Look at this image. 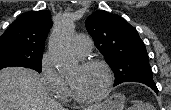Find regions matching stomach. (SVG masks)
I'll use <instances>...</instances> for the list:
<instances>
[{
    "label": "stomach",
    "mask_w": 171,
    "mask_h": 110,
    "mask_svg": "<svg viewBox=\"0 0 171 110\" xmlns=\"http://www.w3.org/2000/svg\"><path fill=\"white\" fill-rule=\"evenodd\" d=\"M126 98L124 95L115 93L109 97L100 107L92 110H123Z\"/></svg>",
    "instance_id": "stomach-1"
}]
</instances>
